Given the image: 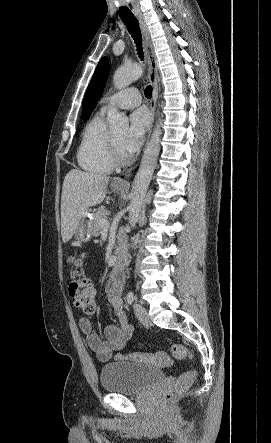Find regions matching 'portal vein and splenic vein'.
Returning <instances> with one entry per match:
<instances>
[{
	"mask_svg": "<svg viewBox=\"0 0 271 443\" xmlns=\"http://www.w3.org/2000/svg\"><path fill=\"white\" fill-rule=\"evenodd\" d=\"M100 225H102V227H104V229H107V227L109 225V220H100Z\"/></svg>",
	"mask_w": 271,
	"mask_h": 443,
	"instance_id": "obj_1",
	"label": "portal vein and splenic vein"
}]
</instances>
